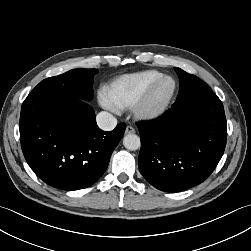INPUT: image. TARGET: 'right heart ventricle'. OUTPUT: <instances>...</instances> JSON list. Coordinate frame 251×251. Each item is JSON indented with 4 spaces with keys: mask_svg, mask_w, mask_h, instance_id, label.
I'll return each mask as SVG.
<instances>
[{
    "mask_svg": "<svg viewBox=\"0 0 251 251\" xmlns=\"http://www.w3.org/2000/svg\"><path fill=\"white\" fill-rule=\"evenodd\" d=\"M163 75L157 70L124 74L111 81L104 92L115 109L131 108L148 86Z\"/></svg>",
    "mask_w": 251,
    "mask_h": 251,
    "instance_id": "right-heart-ventricle-1",
    "label": "right heart ventricle"
}]
</instances>
